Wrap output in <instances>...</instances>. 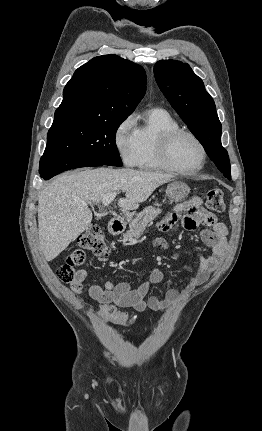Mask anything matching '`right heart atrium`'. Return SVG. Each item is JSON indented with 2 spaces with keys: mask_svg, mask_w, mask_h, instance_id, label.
<instances>
[{
  "mask_svg": "<svg viewBox=\"0 0 262 431\" xmlns=\"http://www.w3.org/2000/svg\"><path fill=\"white\" fill-rule=\"evenodd\" d=\"M114 145L123 162L128 166L136 165L138 140L136 123L132 115L125 117L114 131Z\"/></svg>",
  "mask_w": 262,
  "mask_h": 431,
  "instance_id": "d8ad5b80",
  "label": "right heart atrium"
}]
</instances>
